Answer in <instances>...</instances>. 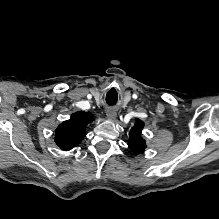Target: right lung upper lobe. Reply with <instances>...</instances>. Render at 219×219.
<instances>
[{"mask_svg": "<svg viewBox=\"0 0 219 219\" xmlns=\"http://www.w3.org/2000/svg\"><path fill=\"white\" fill-rule=\"evenodd\" d=\"M94 120L93 114L76 112L62 122L55 131V143L64 151L77 146L86 135V126Z\"/></svg>", "mask_w": 219, "mask_h": 219, "instance_id": "1", "label": "right lung upper lobe"}]
</instances>
